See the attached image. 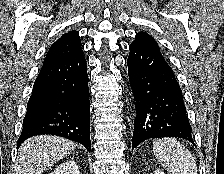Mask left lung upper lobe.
Segmentation results:
<instances>
[{"mask_svg":"<svg viewBox=\"0 0 224 174\" xmlns=\"http://www.w3.org/2000/svg\"><path fill=\"white\" fill-rule=\"evenodd\" d=\"M131 45L158 46L154 38L144 32H139Z\"/></svg>","mask_w":224,"mask_h":174,"instance_id":"obj_1","label":"left lung upper lobe"}]
</instances>
